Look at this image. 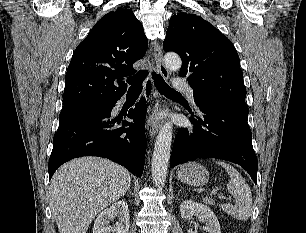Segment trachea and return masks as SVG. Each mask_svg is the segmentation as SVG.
<instances>
[{
  "label": "trachea",
  "mask_w": 306,
  "mask_h": 233,
  "mask_svg": "<svg viewBox=\"0 0 306 233\" xmlns=\"http://www.w3.org/2000/svg\"><path fill=\"white\" fill-rule=\"evenodd\" d=\"M148 71L141 70L135 76L129 77L127 82L131 85L129 88V92H140L142 91V82L146 78ZM154 84L156 88L165 95H179L180 93L170 88L161 75L153 73Z\"/></svg>",
  "instance_id": "3493384b"
}]
</instances>
